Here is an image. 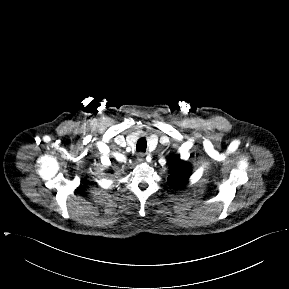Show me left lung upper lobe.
Masks as SVG:
<instances>
[{"instance_id":"left-lung-upper-lobe-1","label":"left lung upper lobe","mask_w":289,"mask_h":289,"mask_svg":"<svg viewBox=\"0 0 289 289\" xmlns=\"http://www.w3.org/2000/svg\"><path fill=\"white\" fill-rule=\"evenodd\" d=\"M190 175V164L181 160L180 156H177L171 166L170 175L168 176L167 180L172 188L178 189L187 184Z\"/></svg>"}]
</instances>
